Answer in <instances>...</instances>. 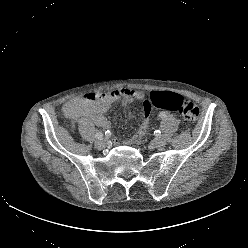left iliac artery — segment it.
Here are the masks:
<instances>
[{
    "label": "left iliac artery",
    "mask_w": 248,
    "mask_h": 248,
    "mask_svg": "<svg viewBox=\"0 0 248 248\" xmlns=\"http://www.w3.org/2000/svg\"><path fill=\"white\" fill-rule=\"evenodd\" d=\"M165 116H166L165 112H161V113H160V117H161V118H163V117H165ZM155 132H156L157 134H158V133H159V134L161 133L159 130H157V131H155Z\"/></svg>",
    "instance_id": "1"
}]
</instances>
